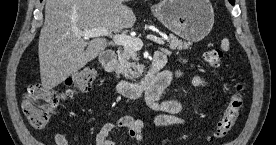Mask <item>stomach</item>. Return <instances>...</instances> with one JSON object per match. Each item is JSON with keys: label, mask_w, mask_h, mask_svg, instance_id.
I'll return each instance as SVG.
<instances>
[{"label": "stomach", "mask_w": 276, "mask_h": 145, "mask_svg": "<svg viewBox=\"0 0 276 145\" xmlns=\"http://www.w3.org/2000/svg\"><path fill=\"white\" fill-rule=\"evenodd\" d=\"M152 12L166 28L191 42L204 39L214 24L209 0H162Z\"/></svg>", "instance_id": "obj_1"}]
</instances>
